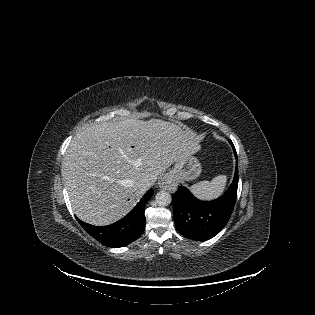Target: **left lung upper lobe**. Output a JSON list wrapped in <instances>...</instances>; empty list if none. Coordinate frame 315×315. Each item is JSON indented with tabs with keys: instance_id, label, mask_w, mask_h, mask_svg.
<instances>
[{
	"instance_id": "5c2ea615",
	"label": "left lung upper lobe",
	"mask_w": 315,
	"mask_h": 315,
	"mask_svg": "<svg viewBox=\"0 0 315 315\" xmlns=\"http://www.w3.org/2000/svg\"><path fill=\"white\" fill-rule=\"evenodd\" d=\"M230 144L232 145V147H233V150H235V148H234V145H233L232 141H230Z\"/></svg>"
}]
</instances>
